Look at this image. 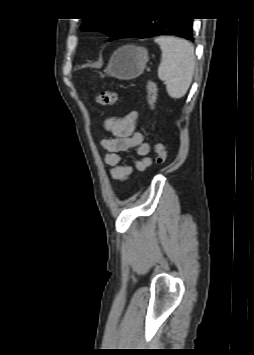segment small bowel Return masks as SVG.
<instances>
[{
    "label": "small bowel",
    "mask_w": 254,
    "mask_h": 355,
    "mask_svg": "<svg viewBox=\"0 0 254 355\" xmlns=\"http://www.w3.org/2000/svg\"><path fill=\"white\" fill-rule=\"evenodd\" d=\"M138 112L131 111L123 117H107L104 128L113 135L112 138L102 139L101 145L107 151L104 160L111 166V175L118 181L128 180L133 168L144 171L148 169L152 160L149 157L150 145L145 141L143 134L136 130ZM134 149L138 158L132 165L122 164L121 153Z\"/></svg>",
    "instance_id": "small-bowel-1"
}]
</instances>
